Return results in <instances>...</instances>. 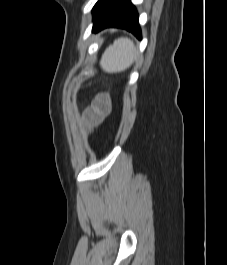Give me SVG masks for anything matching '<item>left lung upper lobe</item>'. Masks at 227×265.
<instances>
[{"mask_svg": "<svg viewBox=\"0 0 227 265\" xmlns=\"http://www.w3.org/2000/svg\"><path fill=\"white\" fill-rule=\"evenodd\" d=\"M106 0H99L96 4H95V6H94V8H93V12L95 11V10H97L104 2H105Z\"/></svg>", "mask_w": 227, "mask_h": 265, "instance_id": "obj_1", "label": "left lung upper lobe"}]
</instances>
